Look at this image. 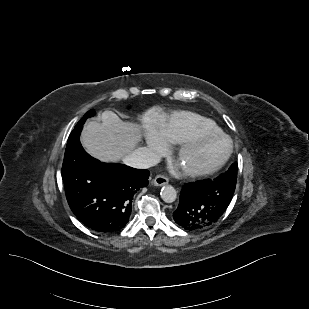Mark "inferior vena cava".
<instances>
[{
  "instance_id": "602c4592",
  "label": "inferior vena cava",
  "mask_w": 309,
  "mask_h": 309,
  "mask_svg": "<svg viewBox=\"0 0 309 309\" xmlns=\"http://www.w3.org/2000/svg\"><path fill=\"white\" fill-rule=\"evenodd\" d=\"M123 161L128 166L147 169L157 164L159 158L154 152L145 150L144 148H139L125 156Z\"/></svg>"
}]
</instances>
